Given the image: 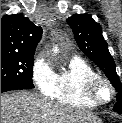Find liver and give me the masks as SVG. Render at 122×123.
Wrapping results in <instances>:
<instances>
[{
  "label": "liver",
  "mask_w": 122,
  "mask_h": 123,
  "mask_svg": "<svg viewBox=\"0 0 122 123\" xmlns=\"http://www.w3.org/2000/svg\"><path fill=\"white\" fill-rule=\"evenodd\" d=\"M1 123H101L92 112L18 90L1 95Z\"/></svg>",
  "instance_id": "6515ba94"
}]
</instances>
